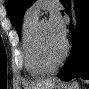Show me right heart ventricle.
I'll use <instances>...</instances> for the list:
<instances>
[{"mask_svg":"<svg viewBox=\"0 0 89 89\" xmlns=\"http://www.w3.org/2000/svg\"><path fill=\"white\" fill-rule=\"evenodd\" d=\"M38 25V16L25 14L22 25V42L25 67L28 73L34 77L47 75L52 70L45 67L38 60L34 49V35Z\"/></svg>","mask_w":89,"mask_h":89,"instance_id":"right-heart-ventricle-1","label":"right heart ventricle"}]
</instances>
